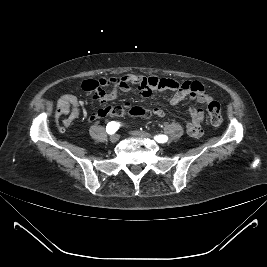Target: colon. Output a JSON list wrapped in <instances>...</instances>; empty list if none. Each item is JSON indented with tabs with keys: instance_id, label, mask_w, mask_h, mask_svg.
I'll list each match as a JSON object with an SVG mask.
<instances>
[{
	"instance_id": "colon-1",
	"label": "colon",
	"mask_w": 267,
	"mask_h": 267,
	"mask_svg": "<svg viewBox=\"0 0 267 267\" xmlns=\"http://www.w3.org/2000/svg\"><path fill=\"white\" fill-rule=\"evenodd\" d=\"M127 111L131 116H134V117L146 118V117H149L150 115V112L147 109L142 108V107H132ZM124 112H125V109L116 107L111 113L115 115H121ZM207 112H208L209 120L212 125L219 126L222 123V113H221V108L218 102L216 101L209 102L207 106Z\"/></svg>"
}]
</instances>
